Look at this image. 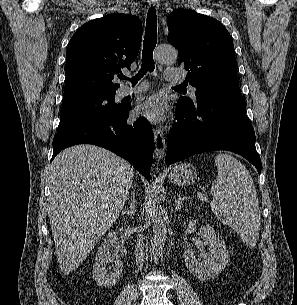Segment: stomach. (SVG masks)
<instances>
[{
    "label": "stomach",
    "mask_w": 297,
    "mask_h": 305,
    "mask_svg": "<svg viewBox=\"0 0 297 305\" xmlns=\"http://www.w3.org/2000/svg\"><path fill=\"white\" fill-rule=\"evenodd\" d=\"M196 178V169L190 163H181L174 166L169 174L170 181L181 186L193 184Z\"/></svg>",
    "instance_id": "1"
}]
</instances>
